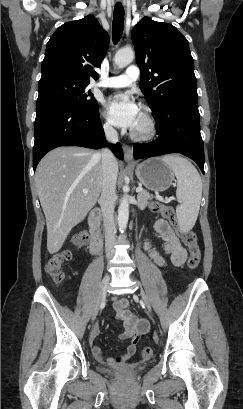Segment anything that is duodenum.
Returning a JSON list of instances; mask_svg holds the SVG:
<instances>
[{"mask_svg":"<svg viewBox=\"0 0 243 409\" xmlns=\"http://www.w3.org/2000/svg\"><path fill=\"white\" fill-rule=\"evenodd\" d=\"M101 218L102 214L98 209L92 210L87 218L90 230V252L93 255H98L102 246Z\"/></svg>","mask_w":243,"mask_h":409,"instance_id":"duodenum-1","label":"duodenum"}]
</instances>
